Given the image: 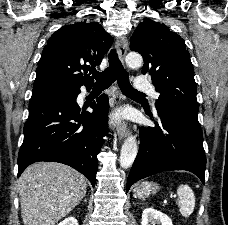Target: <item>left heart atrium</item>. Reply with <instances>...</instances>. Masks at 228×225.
<instances>
[{
  "instance_id": "left-heart-atrium-1",
  "label": "left heart atrium",
  "mask_w": 228,
  "mask_h": 225,
  "mask_svg": "<svg viewBox=\"0 0 228 225\" xmlns=\"http://www.w3.org/2000/svg\"><path fill=\"white\" fill-rule=\"evenodd\" d=\"M123 117V114L122 113H116L115 115H114V118L116 119V120H119V119H121Z\"/></svg>"
}]
</instances>
